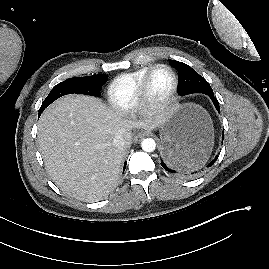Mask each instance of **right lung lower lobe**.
<instances>
[{
	"mask_svg": "<svg viewBox=\"0 0 269 269\" xmlns=\"http://www.w3.org/2000/svg\"><path fill=\"white\" fill-rule=\"evenodd\" d=\"M125 167H126V163L124 164V170H125Z\"/></svg>",
	"mask_w": 269,
	"mask_h": 269,
	"instance_id": "obj_1",
	"label": "right lung lower lobe"
}]
</instances>
